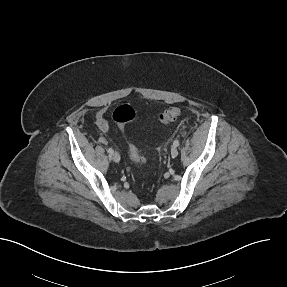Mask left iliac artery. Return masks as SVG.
Masks as SVG:
<instances>
[{
  "mask_svg": "<svg viewBox=\"0 0 287 287\" xmlns=\"http://www.w3.org/2000/svg\"><path fill=\"white\" fill-rule=\"evenodd\" d=\"M173 145H175V146H179V141L178 140H175L174 142H173Z\"/></svg>",
  "mask_w": 287,
  "mask_h": 287,
  "instance_id": "obj_1",
  "label": "left iliac artery"
}]
</instances>
